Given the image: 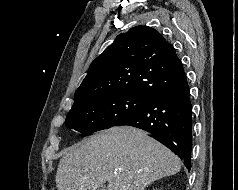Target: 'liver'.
I'll use <instances>...</instances> for the list:
<instances>
[{"mask_svg": "<svg viewBox=\"0 0 238 190\" xmlns=\"http://www.w3.org/2000/svg\"><path fill=\"white\" fill-rule=\"evenodd\" d=\"M180 159L146 132L112 127L63 152L56 173L58 190H145L154 181L175 175Z\"/></svg>", "mask_w": 238, "mask_h": 190, "instance_id": "6515ba94", "label": "liver"}]
</instances>
